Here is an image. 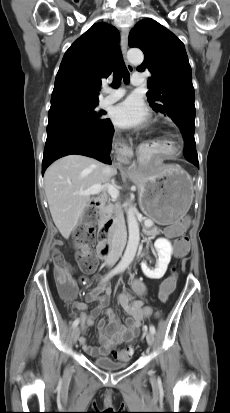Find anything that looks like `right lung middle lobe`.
<instances>
[{
	"label": "right lung middle lobe",
	"mask_w": 230,
	"mask_h": 413,
	"mask_svg": "<svg viewBox=\"0 0 230 413\" xmlns=\"http://www.w3.org/2000/svg\"><path fill=\"white\" fill-rule=\"evenodd\" d=\"M98 104L63 105L48 112L47 135L64 129H96L107 123L104 111H97Z\"/></svg>",
	"instance_id": "1"
}]
</instances>
